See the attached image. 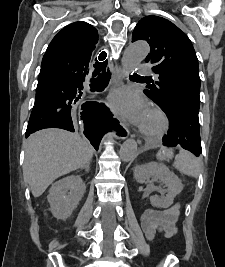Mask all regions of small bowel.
<instances>
[{
    "mask_svg": "<svg viewBox=\"0 0 225 267\" xmlns=\"http://www.w3.org/2000/svg\"><path fill=\"white\" fill-rule=\"evenodd\" d=\"M178 204L164 210L148 209L142 217V227L148 240H152L156 233H162L171 238L177 232L176 220Z\"/></svg>",
    "mask_w": 225,
    "mask_h": 267,
    "instance_id": "1",
    "label": "small bowel"
}]
</instances>
